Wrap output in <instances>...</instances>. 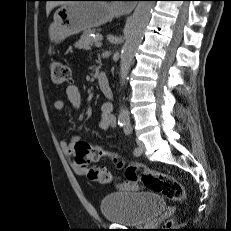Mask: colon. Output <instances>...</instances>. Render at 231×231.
<instances>
[{"mask_svg":"<svg viewBox=\"0 0 231 231\" xmlns=\"http://www.w3.org/2000/svg\"><path fill=\"white\" fill-rule=\"evenodd\" d=\"M51 80L57 86L69 84L72 81L71 68L62 61H52ZM74 151L75 162L80 166L97 163L103 159H110L119 167L125 166V162L117 153L90 145L84 141H77L74 145ZM87 176L90 180L103 184L113 181V175L109 171L95 165L89 167ZM125 176L130 182L141 181L148 190L161 193L169 200L181 202L186 197L183 185L175 177L164 172L150 170L143 164L126 165Z\"/></svg>","mask_w":231,"mask_h":231,"instance_id":"1","label":"colon"}]
</instances>
